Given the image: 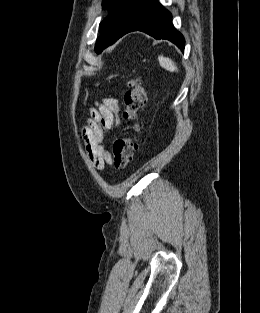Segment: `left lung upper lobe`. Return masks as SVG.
I'll return each instance as SVG.
<instances>
[{
	"mask_svg": "<svg viewBox=\"0 0 260 313\" xmlns=\"http://www.w3.org/2000/svg\"><path fill=\"white\" fill-rule=\"evenodd\" d=\"M155 0H103V9H109L108 16L100 23L103 34L95 44V51L100 53L104 48L118 40L134 20Z\"/></svg>",
	"mask_w": 260,
	"mask_h": 313,
	"instance_id": "obj_1",
	"label": "left lung upper lobe"
}]
</instances>
